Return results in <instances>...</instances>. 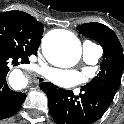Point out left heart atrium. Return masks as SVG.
Returning a JSON list of instances; mask_svg holds the SVG:
<instances>
[{"mask_svg": "<svg viewBox=\"0 0 124 124\" xmlns=\"http://www.w3.org/2000/svg\"><path fill=\"white\" fill-rule=\"evenodd\" d=\"M46 77L55 85L62 88H71L85 82V75L77 70L47 68Z\"/></svg>", "mask_w": 124, "mask_h": 124, "instance_id": "39dd6f15", "label": "left heart atrium"}]
</instances>
